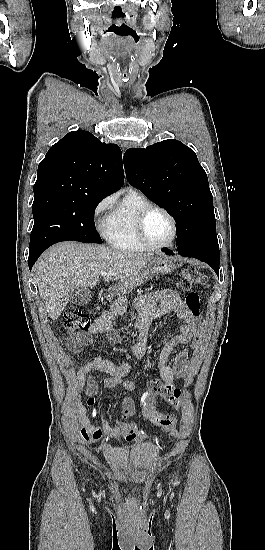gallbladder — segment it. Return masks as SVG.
Wrapping results in <instances>:
<instances>
[{
	"mask_svg": "<svg viewBox=\"0 0 265 550\" xmlns=\"http://www.w3.org/2000/svg\"><path fill=\"white\" fill-rule=\"evenodd\" d=\"M92 298V293L88 288H74L69 293V301L74 305H85Z\"/></svg>",
	"mask_w": 265,
	"mask_h": 550,
	"instance_id": "bac80fb5",
	"label": "gallbladder"
}]
</instances>
